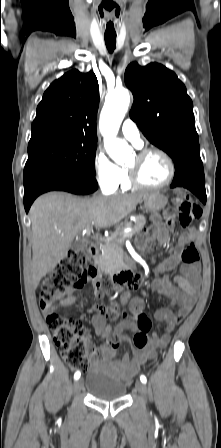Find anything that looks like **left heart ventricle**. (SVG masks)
Here are the masks:
<instances>
[{
  "mask_svg": "<svg viewBox=\"0 0 221 448\" xmlns=\"http://www.w3.org/2000/svg\"><path fill=\"white\" fill-rule=\"evenodd\" d=\"M129 167L135 168L142 180L151 185L161 184L169 176L167 162L157 153L150 154L144 159H139L136 155Z\"/></svg>",
  "mask_w": 221,
  "mask_h": 448,
  "instance_id": "left-heart-ventricle-1",
  "label": "left heart ventricle"
}]
</instances>
